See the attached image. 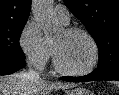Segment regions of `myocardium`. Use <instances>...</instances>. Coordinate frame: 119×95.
Returning a JSON list of instances; mask_svg holds the SVG:
<instances>
[{
	"label": "myocardium",
	"mask_w": 119,
	"mask_h": 95,
	"mask_svg": "<svg viewBox=\"0 0 119 95\" xmlns=\"http://www.w3.org/2000/svg\"><path fill=\"white\" fill-rule=\"evenodd\" d=\"M65 31L68 34H80V35L85 36L92 45L93 59H92L90 65L83 70H70L61 64V62L58 58L56 48L53 46V63H54L55 69L59 73H62L64 75H68V76H74V77L86 76V75L92 73L96 69V67L98 66V63L100 61V47H99L96 39L93 37V35L91 33H89L88 31H86L85 29H82V28L71 27V28L66 29Z\"/></svg>",
	"instance_id": "myocardium-1"
}]
</instances>
